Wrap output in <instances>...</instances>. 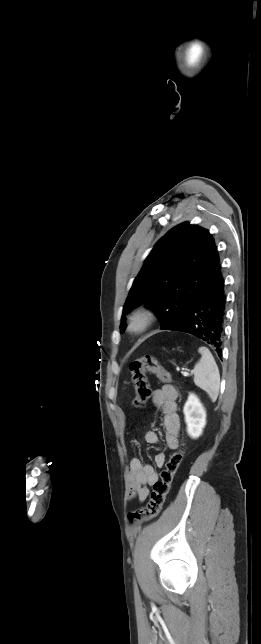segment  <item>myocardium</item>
Wrapping results in <instances>:
<instances>
[{
	"label": "myocardium",
	"mask_w": 261,
	"mask_h": 644,
	"mask_svg": "<svg viewBox=\"0 0 261 644\" xmlns=\"http://www.w3.org/2000/svg\"><path fill=\"white\" fill-rule=\"evenodd\" d=\"M155 319V310L148 305H141L130 314L127 330L133 335L142 334L152 326Z\"/></svg>",
	"instance_id": "obj_1"
}]
</instances>
